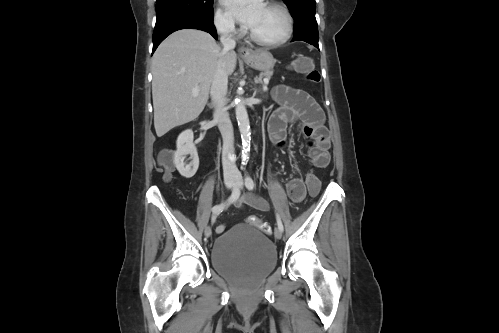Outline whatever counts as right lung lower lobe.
I'll list each match as a JSON object with an SVG mask.
<instances>
[{"mask_svg": "<svg viewBox=\"0 0 499 333\" xmlns=\"http://www.w3.org/2000/svg\"><path fill=\"white\" fill-rule=\"evenodd\" d=\"M185 28L206 31L217 39V32L213 24V18L208 19L189 15L172 16L156 22L153 33V52L168 35L174 31Z\"/></svg>", "mask_w": 499, "mask_h": 333, "instance_id": "98d812e1", "label": "right lung lower lobe"}]
</instances>
